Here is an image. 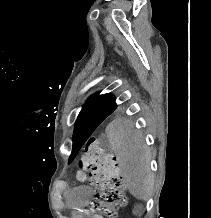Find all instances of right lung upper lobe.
I'll use <instances>...</instances> for the list:
<instances>
[{
  "label": "right lung upper lobe",
  "instance_id": "cb5924a9",
  "mask_svg": "<svg viewBox=\"0 0 211 218\" xmlns=\"http://www.w3.org/2000/svg\"><path fill=\"white\" fill-rule=\"evenodd\" d=\"M91 102H115V98L111 94L98 95L96 93L88 99V103Z\"/></svg>",
  "mask_w": 211,
  "mask_h": 218
}]
</instances>
